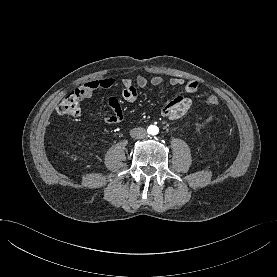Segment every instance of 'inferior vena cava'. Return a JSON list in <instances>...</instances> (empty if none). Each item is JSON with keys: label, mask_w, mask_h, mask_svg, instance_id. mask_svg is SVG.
I'll return each mask as SVG.
<instances>
[{"label": "inferior vena cava", "mask_w": 277, "mask_h": 277, "mask_svg": "<svg viewBox=\"0 0 277 277\" xmlns=\"http://www.w3.org/2000/svg\"><path fill=\"white\" fill-rule=\"evenodd\" d=\"M130 135H131L132 138L142 139V138H145L147 136V132L144 128L138 127V128L132 129L130 131Z\"/></svg>", "instance_id": "inferior-vena-cava-1"}]
</instances>
